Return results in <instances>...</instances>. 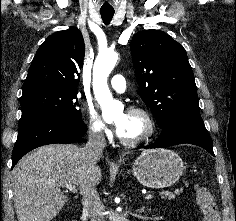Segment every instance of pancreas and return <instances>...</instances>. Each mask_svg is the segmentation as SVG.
<instances>
[{
  "label": "pancreas",
  "instance_id": "pancreas-1",
  "mask_svg": "<svg viewBox=\"0 0 236 221\" xmlns=\"http://www.w3.org/2000/svg\"><path fill=\"white\" fill-rule=\"evenodd\" d=\"M182 189H176L175 191H174V193L173 192H169V191H164V192H162L161 193V195H162V199H165V198H167V199H169V200H171V199H173L174 197H175V195H179L180 193H182Z\"/></svg>",
  "mask_w": 236,
  "mask_h": 221
}]
</instances>
